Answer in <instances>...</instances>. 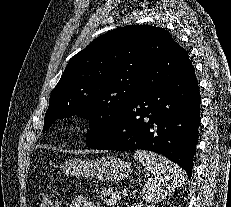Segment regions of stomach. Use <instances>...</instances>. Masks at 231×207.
<instances>
[{
    "mask_svg": "<svg viewBox=\"0 0 231 207\" xmlns=\"http://www.w3.org/2000/svg\"><path fill=\"white\" fill-rule=\"evenodd\" d=\"M60 167L67 175L92 177L102 181H118L131 172L127 161L111 156L94 160L70 159Z\"/></svg>",
    "mask_w": 231,
    "mask_h": 207,
    "instance_id": "stomach-1",
    "label": "stomach"
}]
</instances>
